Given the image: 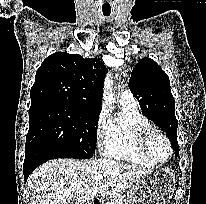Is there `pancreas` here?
Instances as JSON below:
<instances>
[{
	"label": "pancreas",
	"instance_id": "cf45deb5",
	"mask_svg": "<svg viewBox=\"0 0 206 204\" xmlns=\"http://www.w3.org/2000/svg\"><path fill=\"white\" fill-rule=\"evenodd\" d=\"M106 204H123V198L116 197L115 199H111V201H108Z\"/></svg>",
	"mask_w": 206,
	"mask_h": 204
}]
</instances>
